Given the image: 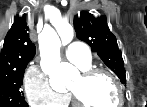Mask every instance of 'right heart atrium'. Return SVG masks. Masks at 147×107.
<instances>
[{
	"label": "right heart atrium",
	"mask_w": 147,
	"mask_h": 107,
	"mask_svg": "<svg viewBox=\"0 0 147 107\" xmlns=\"http://www.w3.org/2000/svg\"><path fill=\"white\" fill-rule=\"evenodd\" d=\"M23 85L27 101L31 106L60 107L68 101V95L53 90L47 75L35 64L25 72Z\"/></svg>",
	"instance_id": "d8ad5b80"
}]
</instances>
